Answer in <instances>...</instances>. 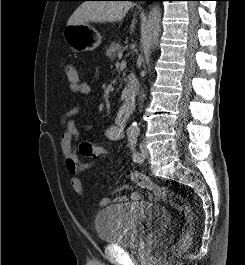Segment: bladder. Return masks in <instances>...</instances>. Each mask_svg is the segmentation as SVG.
Returning <instances> with one entry per match:
<instances>
[{"instance_id":"31cf9c89","label":"bladder","mask_w":245,"mask_h":265,"mask_svg":"<svg viewBox=\"0 0 245 265\" xmlns=\"http://www.w3.org/2000/svg\"><path fill=\"white\" fill-rule=\"evenodd\" d=\"M170 223L166 210L151 202L112 204L94 218L99 238L107 244L140 248L163 234Z\"/></svg>"}]
</instances>
